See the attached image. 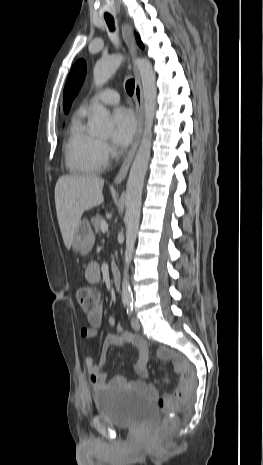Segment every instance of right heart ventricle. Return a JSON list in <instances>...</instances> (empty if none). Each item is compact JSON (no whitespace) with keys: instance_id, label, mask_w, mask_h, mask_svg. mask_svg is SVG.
Wrapping results in <instances>:
<instances>
[{"instance_id":"right-heart-ventricle-1","label":"right heart ventricle","mask_w":263,"mask_h":465,"mask_svg":"<svg viewBox=\"0 0 263 465\" xmlns=\"http://www.w3.org/2000/svg\"><path fill=\"white\" fill-rule=\"evenodd\" d=\"M86 113L78 111L71 120L64 144L65 164L75 174H95L104 169L101 141L88 132L84 124Z\"/></svg>"}]
</instances>
